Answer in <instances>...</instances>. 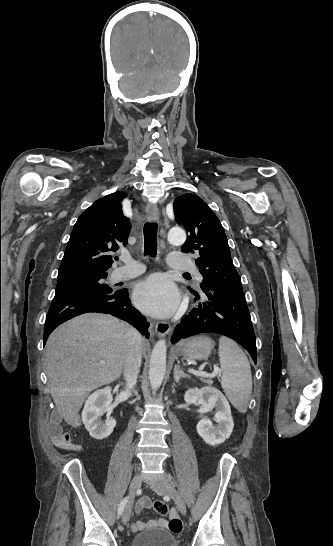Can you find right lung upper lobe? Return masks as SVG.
<instances>
[{
  "mask_svg": "<svg viewBox=\"0 0 333 546\" xmlns=\"http://www.w3.org/2000/svg\"><path fill=\"white\" fill-rule=\"evenodd\" d=\"M122 192L95 201L78 218L68 241L58 280L76 276L105 274L116 252L127 244L131 225L123 215Z\"/></svg>",
  "mask_w": 333,
  "mask_h": 546,
  "instance_id": "cb5924a9",
  "label": "right lung upper lobe"
}]
</instances>
